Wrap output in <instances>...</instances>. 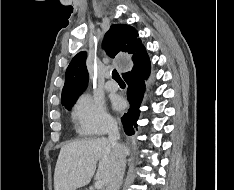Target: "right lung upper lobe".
Here are the masks:
<instances>
[{
  "label": "right lung upper lobe",
  "mask_w": 234,
  "mask_h": 190,
  "mask_svg": "<svg viewBox=\"0 0 234 190\" xmlns=\"http://www.w3.org/2000/svg\"><path fill=\"white\" fill-rule=\"evenodd\" d=\"M102 46L110 57L126 53L131 55L132 61L145 49L136 29L124 24L111 25L105 34ZM85 60L86 52H79L70 62L65 74L62 104L76 100L86 89L88 71Z\"/></svg>",
  "instance_id": "1"
}]
</instances>
